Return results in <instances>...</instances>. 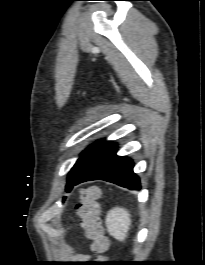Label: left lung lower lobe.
<instances>
[{"label":"left lung lower lobe","mask_w":205,"mask_h":265,"mask_svg":"<svg viewBox=\"0 0 205 265\" xmlns=\"http://www.w3.org/2000/svg\"><path fill=\"white\" fill-rule=\"evenodd\" d=\"M116 148V143H110L72 182L71 189L85 181L105 180L130 190H139L140 181L133 172L132 160L117 156Z\"/></svg>","instance_id":"left-lung-lower-lobe-1"}]
</instances>
